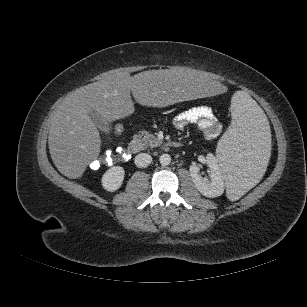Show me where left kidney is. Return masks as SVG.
Here are the masks:
<instances>
[{"instance_id":"obj_1","label":"left kidney","mask_w":307,"mask_h":307,"mask_svg":"<svg viewBox=\"0 0 307 307\" xmlns=\"http://www.w3.org/2000/svg\"><path fill=\"white\" fill-rule=\"evenodd\" d=\"M206 163L210 169V180L201 176L199 173L200 167L196 164L190 166V176L195 187L202 195L214 198L222 195L224 192V175L213 154H207Z\"/></svg>"}]
</instances>
